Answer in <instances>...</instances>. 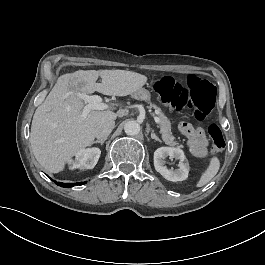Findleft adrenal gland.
Segmentation results:
<instances>
[{
  "mask_svg": "<svg viewBox=\"0 0 265 265\" xmlns=\"http://www.w3.org/2000/svg\"><path fill=\"white\" fill-rule=\"evenodd\" d=\"M151 138L158 141L159 143H162V141L155 135L154 132L151 133Z\"/></svg>",
  "mask_w": 265,
  "mask_h": 265,
  "instance_id": "1",
  "label": "left adrenal gland"
}]
</instances>
